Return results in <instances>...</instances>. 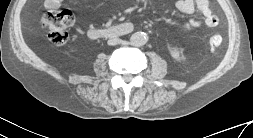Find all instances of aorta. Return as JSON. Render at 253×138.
<instances>
[{
  "label": "aorta",
  "instance_id": "aorta-1",
  "mask_svg": "<svg viewBox=\"0 0 253 138\" xmlns=\"http://www.w3.org/2000/svg\"><path fill=\"white\" fill-rule=\"evenodd\" d=\"M133 41L135 42V44L142 46L149 41V36L145 32H137L133 36Z\"/></svg>",
  "mask_w": 253,
  "mask_h": 138
}]
</instances>
